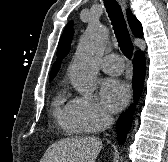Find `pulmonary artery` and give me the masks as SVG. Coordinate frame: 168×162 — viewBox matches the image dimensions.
Listing matches in <instances>:
<instances>
[{
	"mask_svg": "<svg viewBox=\"0 0 168 162\" xmlns=\"http://www.w3.org/2000/svg\"><path fill=\"white\" fill-rule=\"evenodd\" d=\"M101 68L110 75L121 74L124 69V64L121 57L117 54H109L101 61Z\"/></svg>",
	"mask_w": 168,
	"mask_h": 162,
	"instance_id": "1",
	"label": "pulmonary artery"
}]
</instances>
